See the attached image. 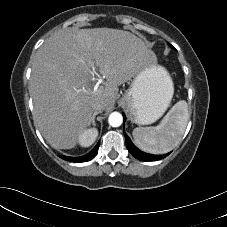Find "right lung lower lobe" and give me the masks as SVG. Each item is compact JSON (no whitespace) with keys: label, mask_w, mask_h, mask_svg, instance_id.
Wrapping results in <instances>:
<instances>
[{"label":"right lung lower lobe","mask_w":227,"mask_h":227,"mask_svg":"<svg viewBox=\"0 0 227 227\" xmlns=\"http://www.w3.org/2000/svg\"><path fill=\"white\" fill-rule=\"evenodd\" d=\"M99 144L98 143L92 151H90L88 154L81 156V157H68V156H60L62 159H65L67 161H72V162H86L91 160L98 152L99 149Z\"/></svg>","instance_id":"98d812e1"}]
</instances>
